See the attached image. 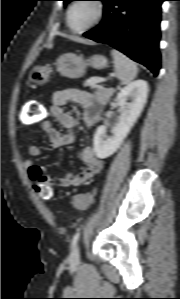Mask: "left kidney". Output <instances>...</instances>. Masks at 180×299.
Returning a JSON list of instances; mask_svg holds the SVG:
<instances>
[{"label": "left kidney", "mask_w": 180, "mask_h": 299, "mask_svg": "<svg viewBox=\"0 0 180 299\" xmlns=\"http://www.w3.org/2000/svg\"><path fill=\"white\" fill-rule=\"evenodd\" d=\"M148 84L137 80L122 89L117 97L120 117L111 130L112 136H107V128L99 126L94 135V152L100 159L111 156L120 147L134 123L140 116L148 96Z\"/></svg>", "instance_id": "left-kidney-1"}]
</instances>
